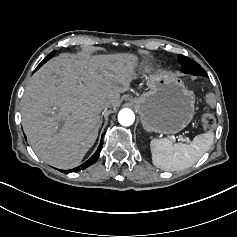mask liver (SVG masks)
I'll return each mask as SVG.
<instances>
[{"label": "liver", "mask_w": 237, "mask_h": 237, "mask_svg": "<svg viewBox=\"0 0 237 237\" xmlns=\"http://www.w3.org/2000/svg\"><path fill=\"white\" fill-rule=\"evenodd\" d=\"M137 63L128 54H83L78 60L54 58L41 67L21 100L22 125L37 156L60 169L78 166L98 136L99 102L119 106Z\"/></svg>", "instance_id": "1"}]
</instances>
